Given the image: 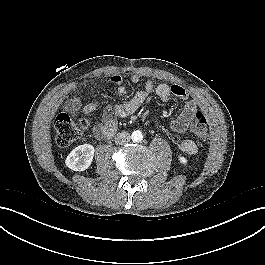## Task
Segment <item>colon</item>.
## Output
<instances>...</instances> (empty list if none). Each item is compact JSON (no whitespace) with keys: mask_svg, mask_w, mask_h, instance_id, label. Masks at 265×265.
I'll use <instances>...</instances> for the list:
<instances>
[{"mask_svg":"<svg viewBox=\"0 0 265 265\" xmlns=\"http://www.w3.org/2000/svg\"><path fill=\"white\" fill-rule=\"evenodd\" d=\"M54 126L56 144L60 147H66L80 138L82 133L89 128L90 122L85 118L75 120L69 115L61 113L56 117ZM190 129L197 138L205 140L208 136L207 118L201 112H197L191 122Z\"/></svg>","mask_w":265,"mask_h":265,"instance_id":"1","label":"colon"}]
</instances>
